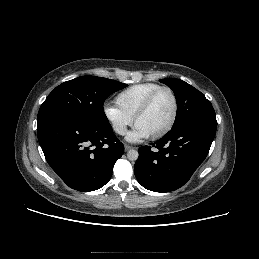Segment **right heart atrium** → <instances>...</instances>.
<instances>
[{
	"instance_id": "obj_1",
	"label": "right heart atrium",
	"mask_w": 259,
	"mask_h": 259,
	"mask_svg": "<svg viewBox=\"0 0 259 259\" xmlns=\"http://www.w3.org/2000/svg\"><path fill=\"white\" fill-rule=\"evenodd\" d=\"M103 115L117 135H124L128 127L132 124V118L111 104L104 105Z\"/></svg>"
}]
</instances>
